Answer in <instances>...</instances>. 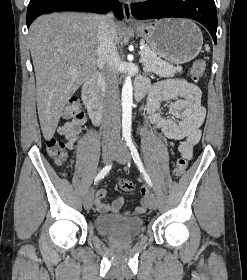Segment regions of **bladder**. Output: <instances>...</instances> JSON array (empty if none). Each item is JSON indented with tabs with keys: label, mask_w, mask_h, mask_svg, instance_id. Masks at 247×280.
Returning a JSON list of instances; mask_svg holds the SVG:
<instances>
[{
	"label": "bladder",
	"mask_w": 247,
	"mask_h": 280,
	"mask_svg": "<svg viewBox=\"0 0 247 280\" xmlns=\"http://www.w3.org/2000/svg\"><path fill=\"white\" fill-rule=\"evenodd\" d=\"M96 230L102 235L117 239H127L139 235L144 227V221L138 217H123L119 215H100L94 220Z\"/></svg>",
	"instance_id": "obj_1"
}]
</instances>
